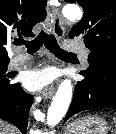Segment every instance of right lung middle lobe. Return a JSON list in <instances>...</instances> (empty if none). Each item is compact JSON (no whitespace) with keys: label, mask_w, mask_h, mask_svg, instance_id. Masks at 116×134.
<instances>
[{"label":"right lung middle lobe","mask_w":116,"mask_h":134,"mask_svg":"<svg viewBox=\"0 0 116 134\" xmlns=\"http://www.w3.org/2000/svg\"><path fill=\"white\" fill-rule=\"evenodd\" d=\"M9 62H0V95L11 92L15 84H11L8 74H6Z\"/></svg>","instance_id":"right-lung-middle-lobe-1"}]
</instances>
